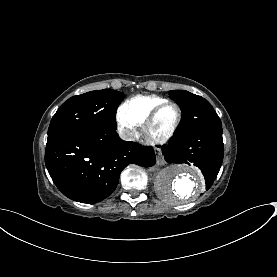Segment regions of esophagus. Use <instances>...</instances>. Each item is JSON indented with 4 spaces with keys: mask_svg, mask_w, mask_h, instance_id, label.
Returning a JSON list of instances; mask_svg holds the SVG:
<instances>
[{
    "mask_svg": "<svg viewBox=\"0 0 277 277\" xmlns=\"http://www.w3.org/2000/svg\"><path fill=\"white\" fill-rule=\"evenodd\" d=\"M157 163L159 164V165H164V160H163V158H159L158 159V161H157Z\"/></svg>",
    "mask_w": 277,
    "mask_h": 277,
    "instance_id": "esophagus-1",
    "label": "esophagus"
}]
</instances>
